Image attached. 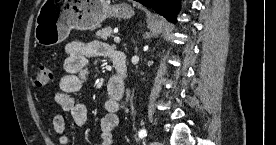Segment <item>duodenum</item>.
I'll return each instance as SVG.
<instances>
[{
	"mask_svg": "<svg viewBox=\"0 0 276 145\" xmlns=\"http://www.w3.org/2000/svg\"><path fill=\"white\" fill-rule=\"evenodd\" d=\"M116 75L111 78L110 86L120 92H124L127 76V57L124 53L117 52L112 57Z\"/></svg>",
	"mask_w": 276,
	"mask_h": 145,
	"instance_id": "1",
	"label": "duodenum"
}]
</instances>
